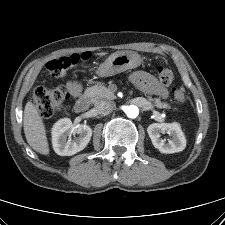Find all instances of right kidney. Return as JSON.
<instances>
[{
    "label": "right kidney",
    "mask_w": 225,
    "mask_h": 225,
    "mask_svg": "<svg viewBox=\"0 0 225 225\" xmlns=\"http://www.w3.org/2000/svg\"><path fill=\"white\" fill-rule=\"evenodd\" d=\"M72 134H78L71 140ZM92 129L85 124L74 126L69 118L57 121L52 128V144L54 151L60 156H71L83 150L89 143Z\"/></svg>",
    "instance_id": "obj_1"
}]
</instances>
